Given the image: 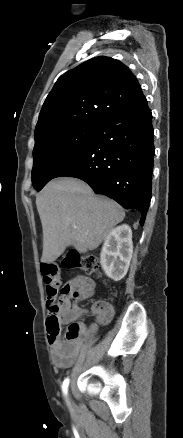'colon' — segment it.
<instances>
[{
    "label": "colon",
    "mask_w": 183,
    "mask_h": 438,
    "mask_svg": "<svg viewBox=\"0 0 183 438\" xmlns=\"http://www.w3.org/2000/svg\"><path fill=\"white\" fill-rule=\"evenodd\" d=\"M61 265L66 269H80L88 274L100 275V265L95 256L82 254L74 250L64 255ZM41 273L47 293V331L48 334L57 336L61 332V311L65 300L72 297L75 298V296L71 294L67 286H64L60 290L61 297L57 299L60 287V267L58 263H43L41 265ZM81 332V324L76 321L71 322L64 333V338L69 341L75 340L81 335Z\"/></svg>",
    "instance_id": "obj_1"
}]
</instances>
